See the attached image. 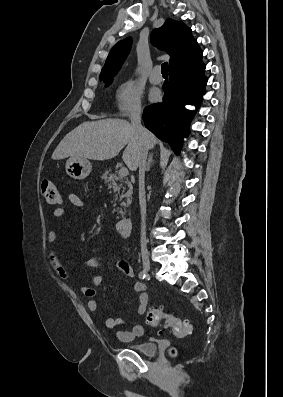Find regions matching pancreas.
<instances>
[{
	"label": "pancreas",
	"instance_id": "1",
	"mask_svg": "<svg viewBox=\"0 0 283 397\" xmlns=\"http://www.w3.org/2000/svg\"><path fill=\"white\" fill-rule=\"evenodd\" d=\"M103 178L105 180V183L108 184V187L112 188L115 192H117L115 200L121 201L123 198H127L125 202L121 203V206H123L124 208L129 206L132 196V184L128 180H126L125 177H121L117 172L110 173V171H106L103 174ZM123 183H125L129 188L126 192ZM120 214L122 216L124 215L122 209H120Z\"/></svg>",
	"mask_w": 283,
	"mask_h": 397
}]
</instances>
